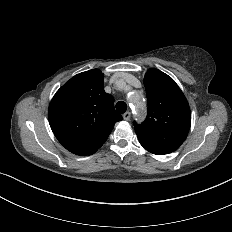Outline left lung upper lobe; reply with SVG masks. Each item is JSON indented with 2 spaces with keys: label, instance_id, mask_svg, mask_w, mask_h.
<instances>
[{
  "label": "left lung upper lobe",
  "instance_id": "obj_1",
  "mask_svg": "<svg viewBox=\"0 0 232 232\" xmlns=\"http://www.w3.org/2000/svg\"><path fill=\"white\" fill-rule=\"evenodd\" d=\"M144 86L148 115L142 124L134 123L139 142L144 148L173 152L188 135L191 125L189 104L175 81L158 69L148 70Z\"/></svg>",
  "mask_w": 232,
  "mask_h": 232
}]
</instances>
